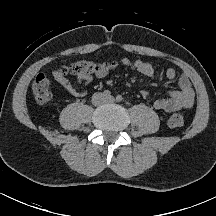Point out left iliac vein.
<instances>
[{"label": "left iliac vein", "instance_id": "obj_1", "mask_svg": "<svg viewBox=\"0 0 216 216\" xmlns=\"http://www.w3.org/2000/svg\"><path fill=\"white\" fill-rule=\"evenodd\" d=\"M114 101H115V99L112 96L105 100V102H107V103H113Z\"/></svg>", "mask_w": 216, "mask_h": 216}]
</instances>
